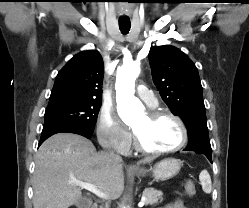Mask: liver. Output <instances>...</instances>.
I'll list each match as a JSON object with an SVG mask.
<instances>
[{
  "mask_svg": "<svg viewBox=\"0 0 249 208\" xmlns=\"http://www.w3.org/2000/svg\"><path fill=\"white\" fill-rule=\"evenodd\" d=\"M147 157L140 161H153ZM95 185L108 197L117 199L124 190L123 164L98 153L93 143L73 133L49 137L35 157L33 177L34 208H69L82 199L73 181Z\"/></svg>",
  "mask_w": 249,
  "mask_h": 208,
  "instance_id": "liver-1",
  "label": "liver"
}]
</instances>
